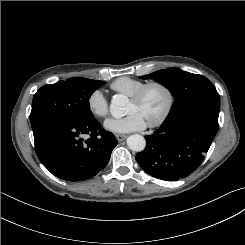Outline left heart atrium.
<instances>
[{"instance_id":"left-heart-atrium-1","label":"left heart atrium","mask_w":245,"mask_h":245,"mask_svg":"<svg viewBox=\"0 0 245 245\" xmlns=\"http://www.w3.org/2000/svg\"><path fill=\"white\" fill-rule=\"evenodd\" d=\"M146 122L136 112L127 114L121 118H111L105 122V128L115 133H128L144 129Z\"/></svg>"}]
</instances>
